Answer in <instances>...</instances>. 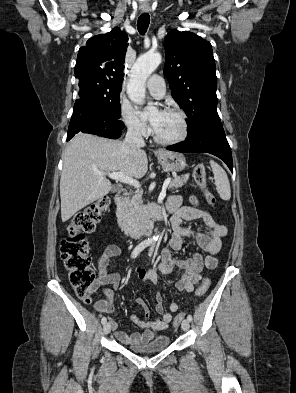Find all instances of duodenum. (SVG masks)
Returning a JSON list of instances; mask_svg holds the SVG:
<instances>
[{
	"mask_svg": "<svg viewBox=\"0 0 296 393\" xmlns=\"http://www.w3.org/2000/svg\"><path fill=\"white\" fill-rule=\"evenodd\" d=\"M127 190L120 189L116 192L114 197L115 203V214H118L119 206L124 202L127 197ZM165 216V212L157 205L147 206L145 210V220L144 223L130 228L127 231L128 236H149L153 229V222L158 220H163Z\"/></svg>",
	"mask_w": 296,
	"mask_h": 393,
	"instance_id": "duodenum-1",
	"label": "duodenum"
}]
</instances>
